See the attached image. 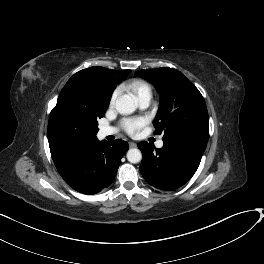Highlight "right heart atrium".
<instances>
[{
  "instance_id": "1",
  "label": "right heart atrium",
  "mask_w": 264,
  "mask_h": 264,
  "mask_svg": "<svg viewBox=\"0 0 264 264\" xmlns=\"http://www.w3.org/2000/svg\"><path fill=\"white\" fill-rule=\"evenodd\" d=\"M117 96H118V91L113 92V94L111 95V98H110V106L114 105Z\"/></svg>"
}]
</instances>
